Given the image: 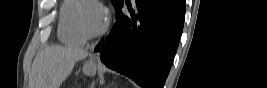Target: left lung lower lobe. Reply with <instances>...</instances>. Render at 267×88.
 <instances>
[{
    "label": "left lung lower lobe",
    "instance_id": "left-lung-lower-lobe-1",
    "mask_svg": "<svg viewBox=\"0 0 267 88\" xmlns=\"http://www.w3.org/2000/svg\"><path fill=\"white\" fill-rule=\"evenodd\" d=\"M130 15L116 8V22L99 42L102 62L143 88H163L182 34L185 4L182 0H126Z\"/></svg>",
    "mask_w": 267,
    "mask_h": 88
}]
</instances>
